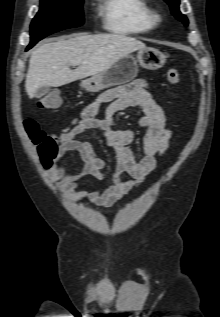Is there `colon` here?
Instances as JSON below:
<instances>
[{
    "instance_id": "colon-1",
    "label": "colon",
    "mask_w": 220,
    "mask_h": 317,
    "mask_svg": "<svg viewBox=\"0 0 220 317\" xmlns=\"http://www.w3.org/2000/svg\"><path fill=\"white\" fill-rule=\"evenodd\" d=\"M167 80L171 85H177L180 82L179 71L171 68L167 71ZM61 96L56 91H51L41 96L39 107L52 110L61 105ZM24 129L27 137L34 145L37 156L43 166H51L56 160L59 152V146L56 138L43 131L36 120L27 118L24 120Z\"/></svg>"
}]
</instances>
